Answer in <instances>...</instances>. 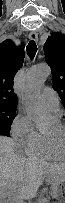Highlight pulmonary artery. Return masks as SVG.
<instances>
[{
	"mask_svg": "<svg viewBox=\"0 0 65 203\" xmlns=\"http://www.w3.org/2000/svg\"><path fill=\"white\" fill-rule=\"evenodd\" d=\"M42 97L46 107L51 111H56L58 108V98L56 97L54 91L46 87L42 91Z\"/></svg>",
	"mask_w": 65,
	"mask_h": 203,
	"instance_id": "e3ab8cb5",
	"label": "pulmonary artery"
}]
</instances>
